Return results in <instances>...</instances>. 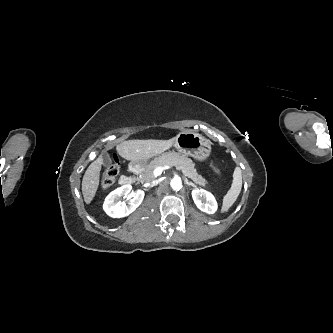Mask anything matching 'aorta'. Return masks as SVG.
Returning <instances> with one entry per match:
<instances>
[{"instance_id": "obj_1", "label": "aorta", "mask_w": 333, "mask_h": 333, "mask_svg": "<svg viewBox=\"0 0 333 333\" xmlns=\"http://www.w3.org/2000/svg\"><path fill=\"white\" fill-rule=\"evenodd\" d=\"M170 185L173 190H181L182 189V181L180 178L175 177L171 180Z\"/></svg>"}]
</instances>
